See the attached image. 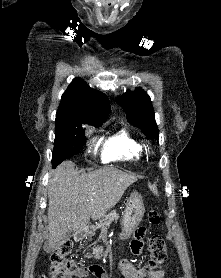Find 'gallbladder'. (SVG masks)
<instances>
[{
  "instance_id": "1",
  "label": "gallbladder",
  "mask_w": 221,
  "mask_h": 278,
  "mask_svg": "<svg viewBox=\"0 0 221 278\" xmlns=\"http://www.w3.org/2000/svg\"><path fill=\"white\" fill-rule=\"evenodd\" d=\"M73 236V231H68L66 233V235L62 238L61 242H65L71 239V237Z\"/></svg>"
}]
</instances>
